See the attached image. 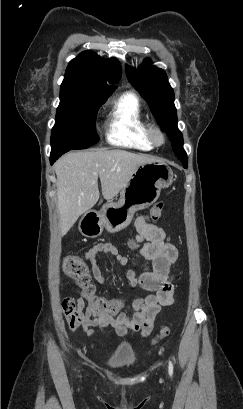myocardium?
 Masks as SVG:
<instances>
[{
	"label": "myocardium",
	"mask_w": 243,
	"mask_h": 409,
	"mask_svg": "<svg viewBox=\"0 0 243 409\" xmlns=\"http://www.w3.org/2000/svg\"><path fill=\"white\" fill-rule=\"evenodd\" d=\"M148 136L154 146H163L166 143V134L158 125H150L148 127Z\"/></svg>",
	"instance_id": "1"
}]
</instances>
